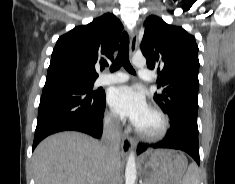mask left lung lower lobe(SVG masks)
Here are the masks:
<instances>
[{
  "label": "left lung lower lobe",
  "instance_id": "1",
  "mask_svg": "<svg viewBox=\"0 0 235 184\" xmlns=\"http://www.w3.org/2000/svg\"><path fill=\"white\" fill-rule=\"evenodd\" d=\"M170 120L171 128L169 129L166 138L152 147L182 150L192 156L199 165L200 157L197 119L188 114L180 113L170 117ZM146 149V145L139 144L137 153L140 154Z\"/></svg>",
  "mask_w": 235,
  "mask_h": 184
}]
</instances>
